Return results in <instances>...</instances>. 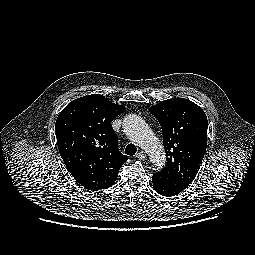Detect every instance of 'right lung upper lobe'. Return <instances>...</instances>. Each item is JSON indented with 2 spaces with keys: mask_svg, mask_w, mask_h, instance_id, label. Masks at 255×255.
<instances>
[{
  "mask_svg": "<svg viewBox=\"0 0 255 255\" xmlns=\"http://www.w3.org/2000/svg\"><path fill=\"white\" fill-rule=\"evenodd\" d=\"M125 110L103 95L92 94L70 102L59 114L55 134L60 155L74 179L87 190L112 186L127 156L118 150L111 127Z\"/></svg>",
  "mask_w": 255,
  "mask_h": 255,
  "instance_id": "right-lung-upper-lobe-1",
  "label": "right lung upper lobe"
}]
</instances>
